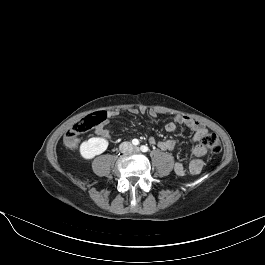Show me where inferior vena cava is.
Masks as SVG:
<instances>
[{"instance_id":"602c4592","label":"inferior vena cava","mask_w":265,"mask_h":265,"mask_svg":"<svg viewBox=\"0 0 265 265\" xmlns=\"http://www.w3.org/2000/svg\"><path fill=\"white\" fill-rule=\"evenodd\" d=\"M126 148H132V144L130 142H123L119 146L121 152H125Z\"/></svg>"}]
</instances>
